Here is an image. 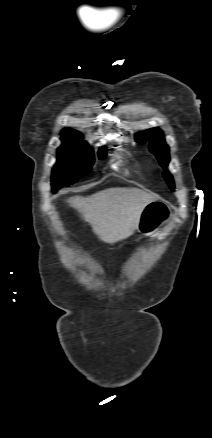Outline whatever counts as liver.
<instances>
[{
	"mask_svg": "<svg viewBox=\"0 0 212 438\" xmlns=\"http://www.w3.org/2000/svg\"><path fill=\"white\" fill-rule=\"evenodd\" d=\"M154 200V196L139 189L110 188L88 197H71L68 203L102 241L113 244L133 234L143 209Z\"/></svg>",
	"mask_w": 212,
	"mask_h": 438,
	"instance_id": "1",
	"label": "liver"
}]
</instances>
